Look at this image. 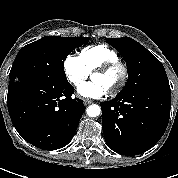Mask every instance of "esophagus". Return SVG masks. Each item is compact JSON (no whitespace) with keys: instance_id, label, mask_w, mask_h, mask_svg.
<instances>
[{"instance_id":"34e87169","label":"esophagus","mask_w":178,"mask_h":178,"mask_svg":"<svg viewBox=\"0 0 178 178\" xmlns=\"http://www.w3.org/2000/svg\"><path fill=\"white\" fill-rule=\"evenodd\" d=\"M92 103V100L84 99V105H89Z\"/></svg>"}]
</instances>
